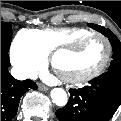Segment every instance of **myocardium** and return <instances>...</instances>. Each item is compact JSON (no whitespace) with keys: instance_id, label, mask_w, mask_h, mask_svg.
Here are the masks:
<instances>
[{"instance_id":"f54148a6","label":"myocardium","mask_w":121,"mask_h":121,"mask_svg":"<svg viewBox=\"0 0 121 121\" xmlns=\"http://www.w3.org/2000/svg\"><path fill=\"white\" fill-rule=\"evenodd\" d=\"M100 38L103 40V42L105 43V56L104 59L102 61V63L95 69V70H90L89 73L91 76H95L97 74H99L100 72H102L104 70V68L107 66L109 59H110V55H111V44L110 41L108 40V38L106 36H104L103 34H99V33H95V34H86L82 37V39L84 41H89L92 38ZM63 52H71L70 48H64V47H60L57 48L54 53L51 56V65L53 67V69L59 73L60 75L63 76V78L67 81H75L78 77V72L77 71H70V72H63L61 71L57 65H56V60L59 57V55Z\"/></svg>"}]
</instances>
